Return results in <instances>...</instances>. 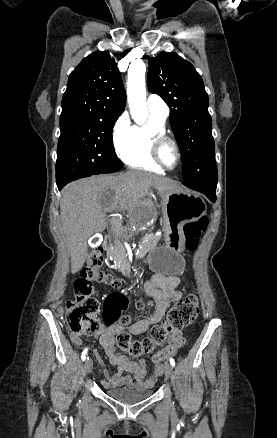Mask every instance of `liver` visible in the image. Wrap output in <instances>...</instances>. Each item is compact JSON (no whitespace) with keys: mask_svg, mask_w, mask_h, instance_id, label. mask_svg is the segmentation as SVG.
I'll use <instances>...</instances> for the list:
<instances>
[{"mask_svg":"<svg viewBox=\"0 0 277 438\" xmlns=\"http://www.w3.org/2000/svg\"><path fill=\"white\" fill-rule=\"evenodd\" d=\"M173 192V180L153 176L147 172L129 170L122 176H92L68 184L62 190L60 220L71 256V272L76 274L88 256L87 240L104 232L107 212L117 206L133 212L140 198L149 196V188Z\"/></svg>","mask_w":277,"mask_h":438,"instance_id":"obj_1","label":"liver"}]
</instances>
